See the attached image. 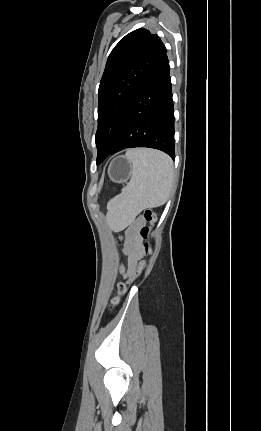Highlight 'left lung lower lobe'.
Here are the masks:
<instances>
[{"mask_svg": "<svg viewBox=\"0 0 261 431\" xmlns=\"http://www.w3.org/2000/svg\"><path fill=\"white\" fill-rule=\"evenodd\" d=\"M169 71V61L165 54L133 98L109 155L125 148L149 147L159 149L175 159L174 111Z\"/></svg>", "mask_w": 261, "mask_h": 431, "instance_id": "left-lung-lower-lobe-1", "label": "left lung lower lobe"}]
</instances>
